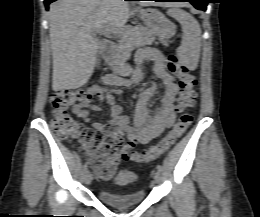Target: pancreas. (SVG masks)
<instances>
[{
	"mask_svg": "<svg viewBox=\"0 0 260 217\" xmlns=\"http://www.w3.org/2000/svg\"><path fill=\"white\" fill-rule=\"evenodd\" d=\"M155 41L153 33L145 27L136 26L124 29L118 41L117 50L123 57L135 47L151 45Z\"/></svg>",
	"mask_w": 260,
	"mask_h": 217,
	"instance_id": "cf45deb5",
	"label": "pancreas"
}]
</instances>
